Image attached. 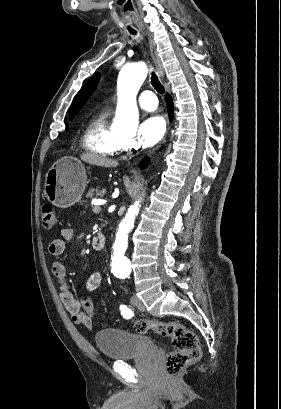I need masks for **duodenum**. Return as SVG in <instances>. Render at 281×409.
<instances>
[{
    "label": "duodenum",
    "mask_w": 281,
    "mask_h": 409,
    "mask_svg": "<svg viewBox=\"0 0 281 409\" xmlns=\"http://www.w3.org/2000/svg\"><path fill=\"white\" fill-rule=\"evenodd\" d=\"M105 244V239L104 236L101 234H98L94 237L93 239V248L97 251H100L103 249Z\"/></svg>",
    "instance_id": "1"
}]
</instances>
